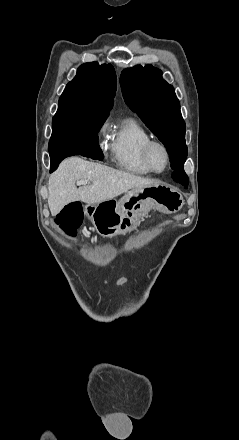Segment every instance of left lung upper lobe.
<instances>
[{
	"instance_id": "5c2ea615",
	"label": "left lung upper lobe",
	"mask_w": 239,
	"mask_h": 440,
	"mask_svg": "<svg viewBox=\"0 0 239 440\" xmlns=\"http://www.w3.org/2000/svg\"><path fill=\"white\" fill-rule=\"evenodd\" d=\"M120 85L127 105L167 148L172 169H183L187 157L186 126L174 88L152 65L124 69Z\"/></svg>"
}]
</instances>
